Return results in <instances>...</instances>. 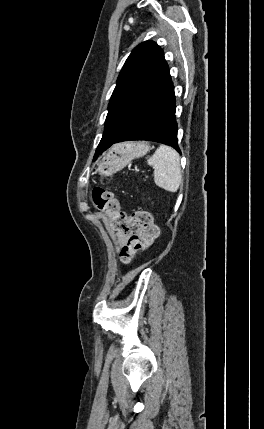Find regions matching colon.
Masks as SVG:
<instances>
[{
  "instance_id": "5ec220e1",
  "label": "colon",
  "mask_w": 264,
  "mask_h": 429,
  "mask_svg": "<svg viewBox=\"0 0 264 429\" xmlns=\"http://www.w3.org/2000/svg\"><path fill=\"white\" fill-rule=\"evenodd\" d=\"M92 197L97 208L107 214L113 230L129 233V240L120 252L125 263H129L137 252L153 244L158 228L149 212L138 210L127 214L120 209L114 194L100 187L93 190Z\"/></svg>"
}]
</instances>
